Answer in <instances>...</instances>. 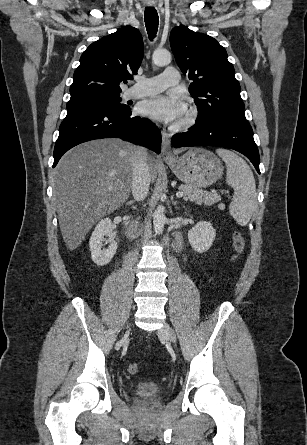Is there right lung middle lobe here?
<instances>
[{"label": "right lung middle lobe", "mask_w": 307, "mask_h": 445, "mask_svg": "<svg viewBox=\"0 0 307 445\" xmlns=\"http://www.w3.org/2000/svg\"><path fill=\"white\" fill-rule=\"evenodd\" d=\"M120 95H101L89 96L83 98L70 99L67 103V110L77 107L87 106H112L124 109H130L127 105L121 104Z\"/></svg>", "instance_id": "obj_1"}]
</instances>
